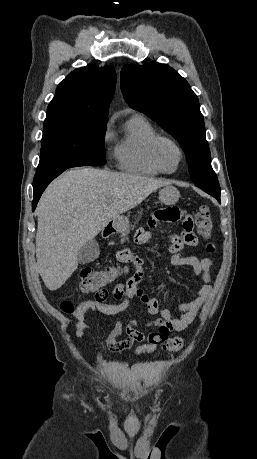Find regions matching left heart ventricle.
<instances>
[{"label": "left heart ventricle", "mask_w": 257, "mask_h": 459, "mask_svg": "<svg viewBox=\"0 0 257 459\" xmlns=\"http://www.w3.org/2000/svg\"><path fill=\"white\" fill-rule=\"evenodd\" d=\"M157 152L161 163L166 169L172 170L176 167L179 153L170 142L162 141L158 146Z\"/></svg>", "instance_id": "b2bd125f"}]
</instances>
